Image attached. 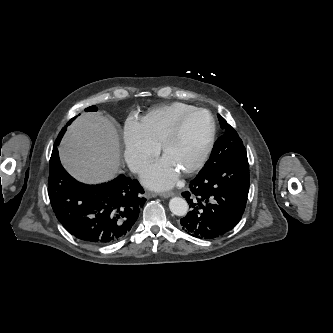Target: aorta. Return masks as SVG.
Wrapping results in <instances>:
<instances>
[{
  "label": "aorta",
  "mask_w": 333,
  "mask_h": 333,
  "mask_svg": "<svg viewBox=\"0 0 333 333\" xmlns=\"http://www.w3.org/2000/svg\"><path fill=\"white\" fill-rule=\"evenodd\" d=\"M171 212L176 216H185L188 212V203L180 197H174L169 202Z\"/></svg>",
  "instance_id": "1"
}]
</instances>
